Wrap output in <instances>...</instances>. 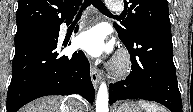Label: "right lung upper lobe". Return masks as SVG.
I'll return each mask as SVG.
<instances>
[{
    "label": "right lung upper lobe",
    "instance_id": "cb5924a9",
    "mask_svg": "<svg viewBox=\"0 0 193 112\" xmlns=\"http://www.w3.org/2000/svg\"><path fill=\"white\" fill-rule=\"evenodd\" d=\"M81 0H19L17 31L53 27L71 18Z\"/></svg>",
    "mask_w": 193,
    "mask_h": 112
}]
</instances>
